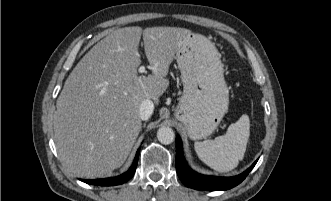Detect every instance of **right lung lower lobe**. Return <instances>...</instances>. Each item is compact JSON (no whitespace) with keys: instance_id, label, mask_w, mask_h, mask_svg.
<instances>
[{"instance_id":"1","label":"right lung lower lobe","mask_w":331,"mask_h":201,"mask_svg":"<svg viewBox=\"0 0 331 201\" xmlns=\"http://www.w3.org/2000/svg\"><path fill=\"white\" fill-rule=\"evenodd\" d=\"M139 153H140V150L137 151L134 162H133L132 166L130 167V169L120 176L105 178V179H95V180H82L81 179V181L88 183V184L99 185V186H114V185L123 184L133 177L136 167H137Z\"/></svg>"}]
</instances>
